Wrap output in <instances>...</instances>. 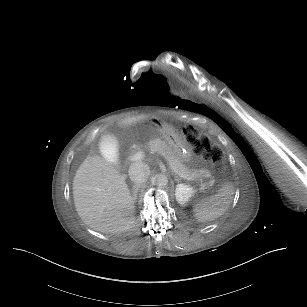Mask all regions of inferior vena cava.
I'll return each instance as SVG.
<instances>
[{
  "label": "inferior vena cava",
  "instance_id": "602c4592",
  "mask_svg": "<svg viewBox=\"0 0 307 307\" xmlns=\"http://www.w3.org/2000/svg\"><path fill=\"white\" fill-rule=\"evenodd\" d=\"M150 176V170L145 163H133L129 168V178L137 185L146 183Z\"/></svg>",
  "mask_w": 307,
  "mask_h": 307
}]
</instances>
